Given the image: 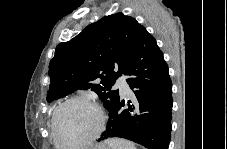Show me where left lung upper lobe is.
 Masks as SVG:
<instances>
[{"label": "left lung upper lobe", "instance_id": "5c2ea615", "mask_svg": "<svg viewBox=\"0 0 227 149\" xmlns=\"http://www.w3.org/2000/svg\"><path fill=\"white\" fill-rule=\"evenodd\" d=\"M141 27L134 18L116 13L88 25L70 41L59 44L49 65L51 83L47 101L78 89H91L109 111L119 98V91H111V87L124 73Z\"/></svg>", "mask_w": 227, "mask_h": 149}]
</instances>
